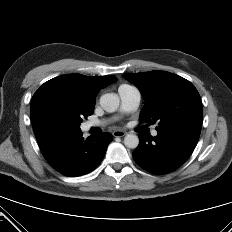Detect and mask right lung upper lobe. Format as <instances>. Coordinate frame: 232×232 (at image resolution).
<instances>
[{
	"label": "right lung upper lobe",
	"instance_id": "obj_1",
	"mask_svg": "<svg viewBox=\"0 0 232 232\" xmlns=\"http://www.w3.org/2000/svg\"><path fill=\"white\" fill-rule=\"evenodd\" d=\"M117 81L115 76L90 77L81 74H68L53 78L45 82L34 94L31 101V120L35 135L42 134L35 119L34 111L40 97L47 92L56 90H69L78 94L85 105L94 109L95 97L100 89Z\"/></svg>",
	"mask_w": 232,
	"mask_h": 232
}]
</instances>
